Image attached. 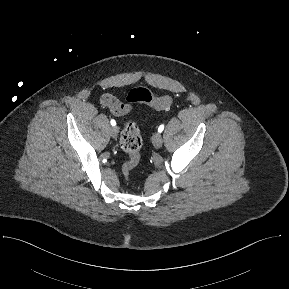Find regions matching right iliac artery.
Returning a JSON list of instances; mask_svg holds the SVG:
<instances>
[{"label":"right iliac artery","instance_id":"82829eb1","mask_svg":"<svg viewBox=\"0 0 289 289\" xmlns=\"http://www.w3.org/2000/svg\"><path fill=\"white\" fill-rule=\"evenodd\" d=\"M110 123H111L112 126H115V125H116V122H115L114 119H111Z\"/></svg>","mask_w":289,"mask_h":289}]
</instances>
